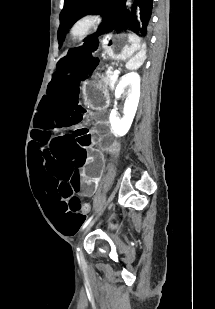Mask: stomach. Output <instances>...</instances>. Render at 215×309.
Here are the masks:
<instances>
[{
	"mask_svg": "<svg viewBox=\"0 0 215 309\" xmlns=\"http://www.w3.org/2000/svg\"><path fill=\"white\" fill-rule=\"evenodd\" d=\"M101 43L104 57L119 62L132 58L141 50L142 40L133 33L117 32L105 35ZM103 77L96 74L83 85L86 97L92 102H102L106 97Z\"/></svg>",
	"mask_w": 215,
	"mask_h": 309,
	"instance_id": "stomach-1",
	"label": "stomach"
}]
</instances>
